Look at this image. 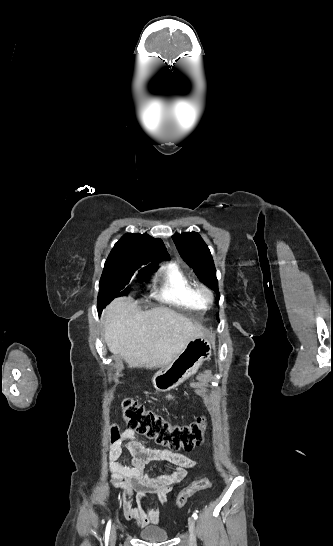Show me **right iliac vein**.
<instances>
[{
    "label": "right iliac vein",
    "instance_id": "obj_1",
    "mask_svg": "<svg viewBox=\"0 0 333 546\" xmlns=\"http://www.w3.org/2000/svg\"><path fill=\"white\" fill-rule=\"evenodd\" d=\"M115 538H116V531H115V529H113V531H112V537H111L112 543L115 541Z\"/></svg>",
    "mask_w": 333,
    "mask_h": 546
}]
</instances>
